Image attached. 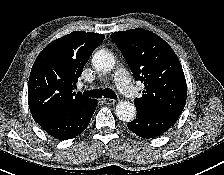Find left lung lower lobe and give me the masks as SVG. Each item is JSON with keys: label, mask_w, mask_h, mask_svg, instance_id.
Here are the masks:
<instances>
[{"label": "left lung lower lobe", "mask_w": 224, "mask_h": 175, "mask_svg": "<svg viewBox=\"0 0 224 175\" xmlns=\"http://www.w3.org/2000/svg\"><path fill=\"white\" fill-rule=\"evenodd\" d=\"M136 118L127 124L130 131L142 138H155L175 124L178 117L136 109Z\"/></svg>", "instance_id": "obj_1"}]
</instances>
